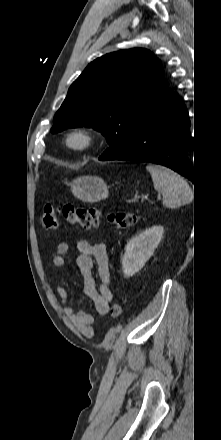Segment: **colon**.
<instances>
[{"mask_svg":"<svg viewBox=\"0 0 221 440\" xmlns=\"http://www.w3.org/2000/svg\"><path fill=\"white\" fill-rule=\"evenodd\" d=\"M63 217L69 224L78 225L83 228H93L98 226L101 219V212L96 208L82 207L74 205H64L62 207L47 205L41 215V224L47 230H54L59 226L60 218ZM108 221L117 227H132L137 223L138 216L128 212H112L107 216ZM123 305L116 302L112 305L110 315L118 319L122 315Z\"/></svg>","mask_w":221,"mask_h":440,"instance_id":"1","label":"colon"}]
</instances>
